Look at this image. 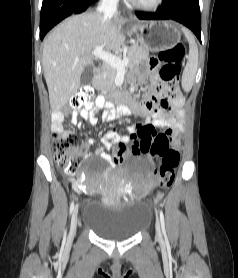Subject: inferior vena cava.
<instances>
[{
    "label": "inferior vena cava",
    "instance_id": "inferior-vena-cava-1",
    "mask_svg": "<svg viewBox=\"0 0 238 278\" xmlns=\"http://www.w3.org/2000/svg\"><path fill=\"white\" fill-rule=\"evenodd\" d=\"M118 0H101L98 12L104 15H113L117 11Z\"/></svg>",
    "mask_w": 238,
    "mask_h": 278
}]
</instances>
